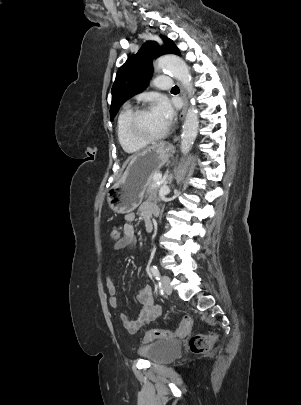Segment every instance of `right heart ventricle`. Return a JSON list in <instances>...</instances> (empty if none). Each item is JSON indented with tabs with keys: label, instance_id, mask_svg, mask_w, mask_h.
Returning a JSON list of instances; mask_svg holds the SVG:
<instances>
[{
	"label": "right heart ventricle",
	"instance_id": "e07e8e85",
	"mask_svg": "<svg viewBox=\"0 0 301 405\" xmlns=\"http://www.w3.org/2000/svg\"><path fill=\"white\" fill-rule=\"evenodd\" d=\"M133 108L125 106L118 115L116 123V135L118 141L126 153L133 154L139 152L145 145L133 140L127 131V122Z\"/></svg>",
	"mask_w": 301,
	"mask_h": 405
}]
</instances>
